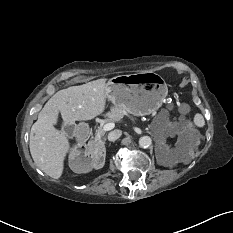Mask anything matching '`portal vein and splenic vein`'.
Masks as SVG:
<instances>
[{"mask_svg": "<svg viewBox=\"0 0 233 233\" xmlns=\"http://www.w3.org/2000/svg\"><path fill=\"white\" fill-rule=\"evenodd\" d=\"M114 127H115V124L113 122H109L103 125L102 130L109 131V130H112Z\"/></svg>", "mask_w": 233, "mask_h": 233, "instance_id": "18ae733b", "label": "portal vein and splenic vein"}]
</instances>
